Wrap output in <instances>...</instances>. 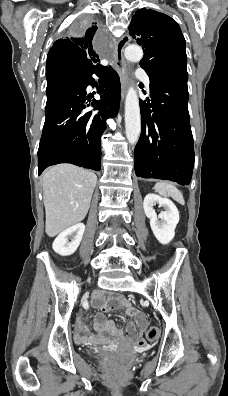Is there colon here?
<instances>
[{
  "mask_svg": "<svg viewBox=\"0 0 228 396\" xmlns=\"http://www.w3.org/2000/svg\"><path fill=\"white\" fill-rule=\"evenodd\" d=\"M159 336V330L156 327H149L147 332H146V337L148 340H155Z\"/></svg>",
  "mask_w": 228,
  "mask_h": 396,
  "instance_id": "1",
  "label": "colon"
}]
</instances>
